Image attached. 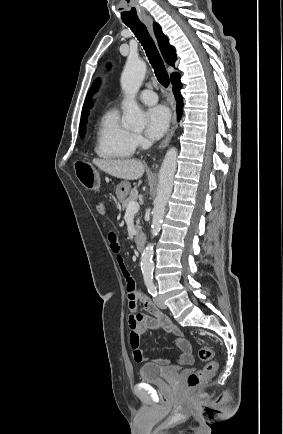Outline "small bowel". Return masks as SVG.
Returning a JSON list of instances; mask_svg holds the SVG:
<instances>
[{
    "label": "small bowel",
    "instance_id": "c3829d8e",
    "mask_svg": "<svg viewBox=\"0 0 283 434\" xmlns=\"http://www.w3.org/2000/svg\"><path fill=\"white\" fill-rule=\"evenodd\" d=\"M96 211L101 215L106 214L107 205L104 202L99 201L96 204ZM108 242L111 250L114 253H118L120 249V245H119L118 237L115 234V232L113 231L109 232ZM117 261L125 279L127 300L131 310V313L128 318V324L130 328V345H131L134 360L139 364L145 363L148 360V357L143 353V351L139 346L140 337L148 329L161 328L166 332L173 334L175 344L180 350V353L179 355H177L175 358L171 360L161 359V358L155 359L154 363L159 366H168V365L181 366V365L192 363L193 361L192 345L185 338L184 333L170 320L168 316L162 313L154 305V303L137 288L134 279L130 276V274L128 273V271L126 270L123 264V258L118 256ZM138 300L142 301L146 311L149 314H151L153 317L137 312Z\"/></svg>",
    "mask_w": 283,
    "mask_h": 434
}]
</instances>
